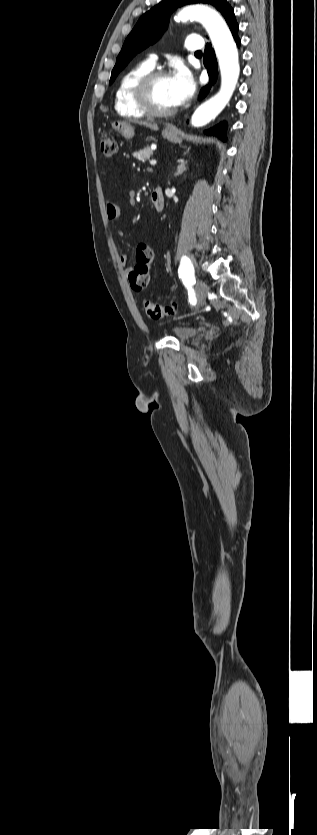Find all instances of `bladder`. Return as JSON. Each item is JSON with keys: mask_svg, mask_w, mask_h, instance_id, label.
<instances>
[{"mask_svg": "<svg viewBox=\"0 0 317 835\" xmlns=\"http://www.w3.org/2000/svg\"><path fill=\"white\" fill-rule=\"evenodd\" d=\"M173 333L179 341L185 342L193 338L198 333V329L195 327L178 325L173 328Z\"/></svg>", "mask_w": 317, "mask_h": 835, "instance_id": "bladder-1", "label": "bladder"}]
</instances>
